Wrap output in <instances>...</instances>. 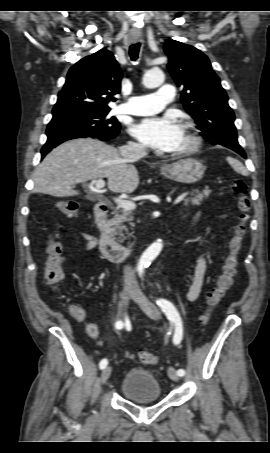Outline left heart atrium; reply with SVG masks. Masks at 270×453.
<instances>
[{
    "label": "left heart atrium",
    "mask_w": 270,
    "mask_h": 453,
    "mask_svg": "<svg viewBox=\"0 0 270 453\" xmlns=\"http://www.w3.org/2000/svg\"><path fill=\"white\" fill-rule=\"evenodd\" d=\"M180 125L170 116L144 118L131 126V134L145 146L171 151L180 136Z\"/></svg>",
    "instance_id": "obj_1"
}]
</instances>
